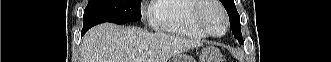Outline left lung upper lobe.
<instances>
[{"instance_id": "left-lung-upper-lobe-1", "label": "left lung upper lobe", "mask_w": 331, "mask_h": 62, "mask_svg": "<svg viewBox=\"0 0 331 62\" xmlns=\"http://www.w3.org/2000/svg\"><path fill=\"white\" fill-rule=\"evenodd\" d=\"M224 5L230 19V27L235 28L236 31L241 33L240 30V16L234 4V0H220Z\"/></svg>"}]
</instances>
